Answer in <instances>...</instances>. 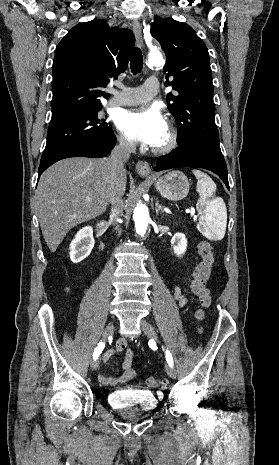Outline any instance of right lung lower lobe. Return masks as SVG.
I'll return each mask as SVG.
<instances>
[{
  "label": "right lung lower lobe",
  "mask_w": 279,
  "mask_h": 465,
  "mask_svg": "<svg viewBox=\"0 0 279 465\" xmlns=\"http://www.w3.org/2000/svg\"><path fill=\"white\" fill-rule=\"evenodd\" d=\"M116 141V137L112 135L111 137L100 141L83 140L74 143L55 153L50 158L41 161L38 170V177H40L43 171L46 170L50 165L64 158L79 156L94 158L104 157L105 154L109 153L110 150L115 146Z\"/></svg>",
  "instance_id": "obj_1"
}]
</instances>
